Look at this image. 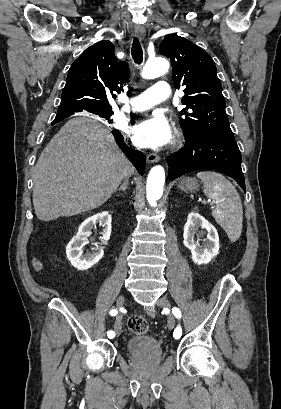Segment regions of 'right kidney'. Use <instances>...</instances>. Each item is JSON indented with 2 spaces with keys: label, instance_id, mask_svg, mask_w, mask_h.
<instances>
[{
  "label": "right kidney",
  "instance_id": "1",
  "mask_svg": "<svg viewBox=\"0 0 281 409\" xmlns=\"http://www.w3.org/2000/svg\"><path fill=\"white\" fill-rule=\"evenodd\" d=\"M96 223H101V225H103L102 239H104V241H109L112 223L111 215H109L108 211H103V213H97V215H92V217L85 219V221L81 223L77 235L69 241L66 247V249H69L70 251L71 263L73 267L78 269V271H86V269H90V267L96 265L104 255L102 247H94L91 253L83 255V247L89 243L87 237L92 235L91 231Z\"/></svg>",
  "mask_w": 281,
  "mask_h": 409
}]
</instances>
